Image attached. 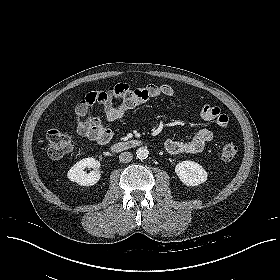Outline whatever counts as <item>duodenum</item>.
<instances>
[{
  "label": "duodenum",
  "instance_id": "duodenum-1",
  "mask_svg": "<svg viewBox=\"0 0 280 280\" xmlns=\"http://www.w3.org/2000/svg\"><path fill=\"white\" fill-rule=\"evenodd\" d=\"M142 146V142L138 140H126L121 141L116 144H114L111 148V150L115 153L124 152L127 150L139 148Z\"/></svg>",
  "mask_w": 280,
  "mask_h": 280
}]
</instances>
